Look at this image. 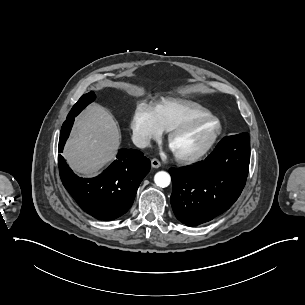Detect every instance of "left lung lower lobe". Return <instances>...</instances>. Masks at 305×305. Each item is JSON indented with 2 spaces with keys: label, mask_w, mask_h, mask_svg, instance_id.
<instances>
[{
  "label": "left lung lower lobe",
  "mask_w": 305,
  "mask_h": 305,
  "mask_svg": "<svg viewBox=\"0 0 305 305\" xmlns=\"http://www.w3.org/2000/svg\"><path fill=\"white\" fill-rule=\"evenodd\" d=\"M249 162V134L241 133L224 138L204 161L171 168L170 202L176 218L197 226L228 210L245 186Z\"/></svg>",
  "instance_id": "obj_1"
}]
</instances>
